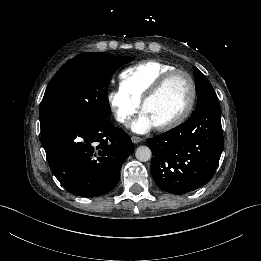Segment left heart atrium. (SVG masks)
<instances>
[{"instance_id": "obj_1", "label": "left heart atrium", "mask_w": 261, "mask_h": 261, "mask_svg": "<svg viewBox=\"0 0 261 261\" xmlns=\"http://www.w3.org/2000/svg\"><path fill=\"white\" fill-rule=\"evenodd\" d=\"M154 121L146 112H142L139 117L133 122L131 128L134 132L143 134L155 127Z\"/></svg>"}]
</instances>
